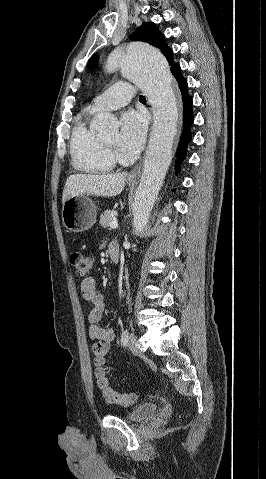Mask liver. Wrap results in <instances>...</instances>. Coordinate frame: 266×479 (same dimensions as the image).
Here are the masks:
<instances>
[{
  "mask_svg": "<svg viewBox=\"0 0 266 479\" xmlns=\"http://www.w3.org/2000/svg\"><path fill=\"white\" fill-rule=\"evenodd\" d=\"M127 174H74L65 183L62 203L73 196L96 195L113 197L124 189Z\"/></svg>",
  "mask_w": 266,
  "mask_h": 479,
  "instance_id": "obj_1",
  "label": "liver"
}]
</instances>
